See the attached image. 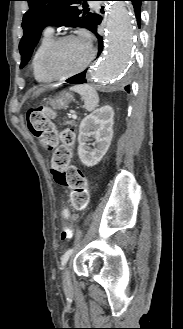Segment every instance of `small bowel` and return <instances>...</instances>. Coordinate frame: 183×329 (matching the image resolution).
Segmentation results:
<instances>
[{
    "instance_id": "small-bowel-1",
    "label": "small bowel",
    "mask_w": 183,
    "mask_h": 329,
    "mask_svg": "<svg viewBox=\"0 0 183 329\" xmlns=\"http://www.w3.org/2000/svg\"><path fill=\"white\" fill-rule=\"evenodd\" d=\"M59 191L62 193L64 190L61 188ZM69 212H70V207L69 206H62L61 207V212H60V217L61 218H68L69 217Z\"/></svg>"
}]
</instances>
